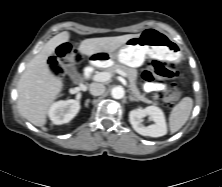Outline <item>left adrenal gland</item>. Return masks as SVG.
I'll use <instances>...</instances> for the list:
<instances>
[{"label": "left adrenal gland", "instance_id": "a2214340", "mask_svg": "<svg viewBox=\"0 0 222 187\" xmlns=\"http://www.w3.org/2000/svg\"><path fill=\"white\" fill-rule=\"evenodd\" d=\"M129 100L130 101H138L136 98H134L132 95H129Z\"/></svg>", "mask_w": 222, "mask_h": 187}]
</instances>
